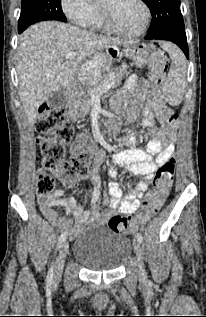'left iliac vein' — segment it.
<instances>
[{"instance_id": "left-iliac-vein-1", "label": "left iliac vein", "mask_w": 206, "mask_h": 317, "mask_svg": "<svg viewBox=\"0 0 206 317\" xmlns=\"http://www.w3.org/2000/svg\"><path fill=\"white\" fill-rule=\"evenodd\" d=\"M133 246H134V250L137 256V261H138V267H139V276L141 279H145L146 278V272H145V267L143 264V260H142V248H141V243L135 239L133 241Z\"/></svg>"}]
</instances>
